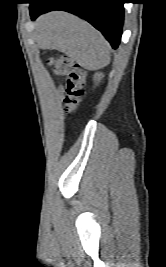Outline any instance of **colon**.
Returning <instances> with one entry per match:
<instances>
[{"mask_svg": "<svg viewBox=\"0 0 166 267\" xmlns=\"http://www.w3.org/2000/svg\"><path fill=\"white\" fill-rule=\"evenodd\" d=\"M57 75L65 78L64 112L65 115L74 113L84 95L86 72L76 62L65 55L50 60Z\"/></svg>", "mask_w": 166, "mask_h": 267, "instance_id": "1", "label": "colon"}]
</instances>
